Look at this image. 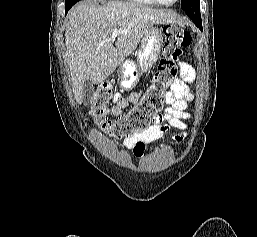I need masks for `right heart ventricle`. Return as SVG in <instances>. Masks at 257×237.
Returning a JSON list of instances; mask_svg holds the SVG:
<instances>
[{
  "mask_svg": "<svg viewBox=\"0 0 257 237\" xmlns=\"http://www.w3.org/2000/svg\"><path fill=\"white\" fill-rule=\"evenodd\" d=\"M128 2L141 4V5H155L154 0H126Z\"/></svg>",
  "mask_w": 257,
  "mask_h": 237,
  "instance_id": "e07e8e85",
  "label": "right heart ventricle"
}]
</instances>
